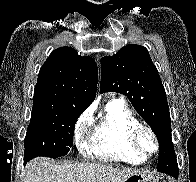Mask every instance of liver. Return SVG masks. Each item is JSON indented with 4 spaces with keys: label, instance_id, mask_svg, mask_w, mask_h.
<instances>
[{
    "label": "liver",
    "instance_id": "liver-1",
    "mask_svg": "<svg viewBox=\"0 0 196 182\" xmlns=\"http://www.w3.org/2000/svg\"><path fill=\"white\" fill-rule=\"evenodd\" d=\"M23 182H125L137 171L99 163H62L36 158L26 166Z\"/></svg>",
    "mask_w": 196,
    "mask_h": 182
}]
</instances>
